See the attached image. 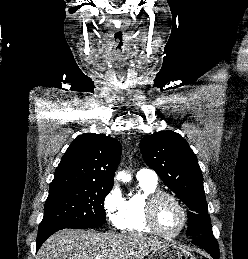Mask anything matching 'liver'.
I'll use <instances>...</instances> for the list:
<instances>
[{"label": "liver", "instance_id": "liver-1", "mask_svg": "<svg viewBox=\"0 0 248 259\" xmlns=\"http://www.w3.org/2000/svg\"><path fill=\"white\" fill-rule=\"evenodd\" d=\"M164 245L162 241L137 233L65 229L44 242L36 259H144Z\"/></svg>", "mask_w": 248, "mask_h": 259}]
</instances>
